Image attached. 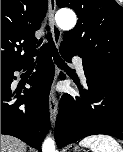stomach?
<instances>
[{"mask_svg":"<svg viewBox=\"0 0 123 152\" xmlns=\"http://www.w3.org/2000/svg\"><path fill=\"white\" fill-rule=\"evenodd\" d=\"M74 152H78V148L77 147L74 148Z\"/></svg>","mask_w":123,"mask_h":152,"instance_id":"1","label":"stomach"}]
</instances>
